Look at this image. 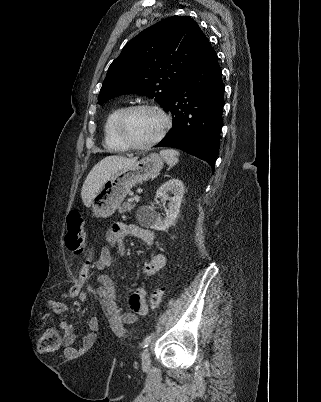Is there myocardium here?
Here are the masks:
<instances>
[{
	"label": "myocardium",
	"instance_id": "1",
	"mask_svg": "<svg viewBox=\"0 0 321 402\" xmlns=\"http://www.w3.org/2000/svg\"><path fill=\"white\" fill-rule=\"evenodd\" d=\"M138 110H151L158 113L163 119V127L160 133L151 141L145 144H137L133 142L125 132V124L129 115ZM171 127V118L161 107L149 104V103H140L128 106L124 108V110L119 115L116 122V132L120 139V141L128 148L137 151H143L152 148L156 144H158L167 134Z\"/></svg>",
	"mask_w": 321,
	"mask_h": 402
}]
</instances>
